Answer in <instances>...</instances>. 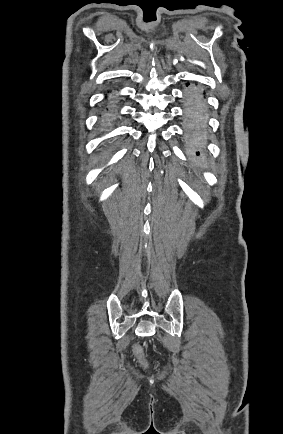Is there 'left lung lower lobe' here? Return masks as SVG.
Segmentation results:
<instances>
[{
	"mask_svg": "<svg viewBox=\"0 0 283 434\" xmlns=\"http://www.w3.org/2000/svg\"><path fill=\"white\" fill-rule=\"evenodd\" d=\"M183 100L186 140L192 145H201L205 140L207 128L205 96L200 89L191 86Z\"/></svg>",
	"mask_w": 283,
	"mask_h": 434,
	"instance_id": "0a47b994",
	"label": "left lung lower lobe"
}]
</instances>
